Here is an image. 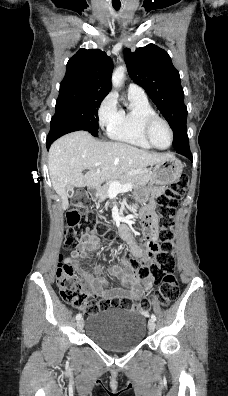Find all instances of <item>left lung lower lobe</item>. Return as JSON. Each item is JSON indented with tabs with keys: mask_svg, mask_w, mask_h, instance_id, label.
I'll return each mask as SVG.
<instances>
[{
	"mask_svg": "<svg viewBox=\"0 0 228 396\" xmlns=\"http://www.w3.org/2000/svg\"><path fill=\"white\" fill-rule=\"evenodd\" d=\"M180 143L185 144L186 145V151L182 152V155L186 156L187 158H189L190 160H192V155L189 149V141H188V136H187V129L185 132H183L180 135Z\"/></svg>",
	"mask_w": 228,
	"mask_h": 396,
	"instance_id": "left-lung-lower-lobe-1",
	"label": "left lung lower lobe"
}]
</instances>
